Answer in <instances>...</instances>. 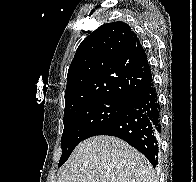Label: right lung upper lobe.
Instances as JSON below:
<instances>
[{"mask_svg":"<svg viewBox=\"0 0 196 182\" xmlns=\"http://www.w3.org/2000/svg\"><path fill=\"white\" fill-rule=\"evenodd\" d=\"M151 80L146 52L131 27L103 24L83 40L71 62L64 112L99 98L130 102Z\"/></svg>","mask_w":196,"mask_h":182,"instance_id":"obj_1","label":"right lung upper lobe"}]
</instances>
